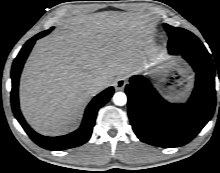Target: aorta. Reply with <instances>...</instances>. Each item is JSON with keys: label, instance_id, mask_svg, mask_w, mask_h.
<instances>
[{"label": "aorta", "instance_id": "1", "mask_svg": "<svg viewBox=\"0 0 220 173\" xmlns=\"http://www.w3.org/2000/svg\"><path fill=\"white\" fill-rule=\"evenodd\" d=\"M113 102L117 105V106H123L127 103V96L125 93L123 92H117L114 94L113 96Z\"/></svg>", "mask_w": 220, "mask_h": 173}]
</instances>
